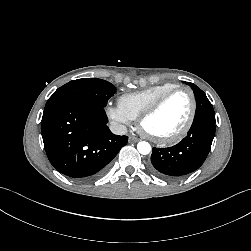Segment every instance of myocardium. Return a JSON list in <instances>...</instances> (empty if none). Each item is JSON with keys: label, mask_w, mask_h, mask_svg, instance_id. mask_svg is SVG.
Segmentation results:
<instances>
[{"label": "myocardium", "mask_w": 251, "mask_h": 251, "mask_svg": "<svg viewBox=\"0 0 251 251\" xmlns=\"http://www.w3.org/2000/svg\"><path fill=\"white\" fill-rule=\"evenodd\" d=\"M179 91L187 92L190 96V99H191L190 114H189V117H188L186 123L183 125V127L175 134L168 136V137H163V138L155 137L152 134H150L149 132H147L143 127L144 122L148 118L153 116L163 106V104L167 101V99L169 97H171L173 94H175L176 92H179ZM196 112H197V100H196L195 94L192 91V89H190L187 86H175L172 89L165 92L164 94H162L152 105H150L138 117V121H137L138 128L144 134V136H146L148 139H150L158 144H161V145L174 144V143L180 141L181 139H183L187 135V133L189 132V130L191 129V127L194 123V120L196 117Z\"/></svg>", "instance_id": "myocardium-1"}]
</instances>
